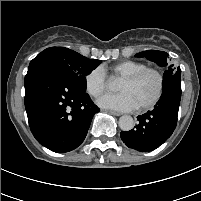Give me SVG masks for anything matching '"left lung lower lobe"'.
<instances>
[{"instance_id": "left-lung-lower-lobe-1", "label": "left lung lower lobe", "mask_w": 201, "mask_h": 201, "mask_svg": "<svg viewBox=\"0 0 201 201\" xmlns=\"http://www.w3.org/2000/svg\"><path fill=\"white\" fill-rule=\"evenodd\" d=\"M181 99V82L172 81L163 88L160 100L154 109L138 116L139 123L130 131L121 132L122 141L141 152L157 149L173 133Z\"/></svg>"}]
</instances>
